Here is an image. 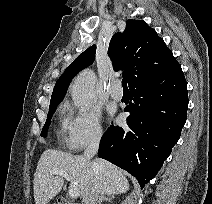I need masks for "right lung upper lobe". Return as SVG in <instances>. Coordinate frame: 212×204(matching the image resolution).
<instances>
[{"label":"right lung upper lobe","instance_id":"obj_1","mask_svg":"<svg viewBox=\"0 0 212 204\" xmlns=\"http://www.w3.org/2000/svg\"><path fill=\"white\" fill-rule=\"evenodd\" d=\"M95 51L96 45L89 47L68 66L55 84L50 104L63 100L73 77L94 61ZM108 55L116 71L124 70L129 89L180 67L163 39L143 20H127L125 31L112 37Z\"/></svg>","mask_w":212,"mask_h":204}]
</instances>
